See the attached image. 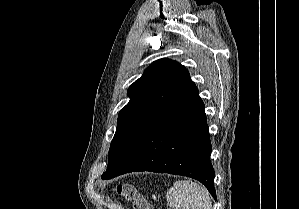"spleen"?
Segmentation results:
<instances>
[{
  "label": "spleen",
  "mask_w": 299,
  "mask_h": 209,
  "mask_svg": "<svg viewBox=\"0 0 299 209\" xmlns=\"http://www.w3.org/2000/svg\"><path fill=\"white\" fill-rule=\"evenodd\" d=\"M169 209H212L208 190L195 182L178 180L167 191Z\"/></svg>",
  "instance_id": "3e777b00"
}]
</instances>
